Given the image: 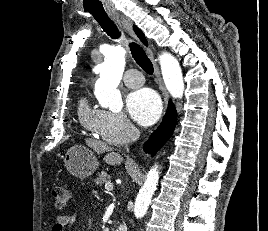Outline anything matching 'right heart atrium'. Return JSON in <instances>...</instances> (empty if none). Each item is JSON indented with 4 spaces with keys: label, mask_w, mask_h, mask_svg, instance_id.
<instances>
[{
    "label": "right heart atrium",
    "mask_w": 268,
    "mask_h": 231,
    "mask_svg": "<svg viewBox=\"0 0 268 231\" xmlns=\"http://www.w3.org/2000/svg\"><path fill=\"white\" fill-rule=\"evenodd\" d=\"M133 126L123 113L102 110L97 124L98 136L111 144H120L129 136Z\"/></svg>",
    "instance_id": "right-heart-atrium-1"
}]
</instances>
